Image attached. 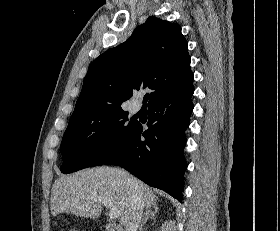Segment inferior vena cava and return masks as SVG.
Masks as SVG:
<instances>
[{
  "label": "inferior vena cava",
  "instance_id": "obj_1",
  "mask_svg": "<svg viewBox=\"0 0 280 231\" xmlns=\"http://www.w3.org/2000/svg\"><path fill=\"white\" fill-rule=\"evenodd\" d=\"M128 185L131 189V213L126 221L125 231H137L143 217V201L138 197L139 185L137 179L127 177Z\"/></svg>",
  "mask_w": 280,
  "mask_h": 231
}]
</instances>
